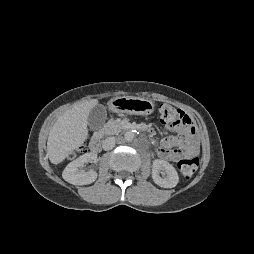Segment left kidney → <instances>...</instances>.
<instances>
[{
    "label": "left kidney",
    "instance_id": "1",
    "mask_svg": "<svg viewBox=\"0 0 254 254\" xmlns=\"http://www.w3.org/2000/svg\"><path fill=\"white\" fill-rule=\"evenodd\" d=\"M160 173L163 175V177L159 175ZM152 178L157 185L164 188H173L179 182L176 169L167 161L160 159L153 161Z\"/></svg>",
    "mask_w": 254,
    "mask_h": 254
}]
</instances>
